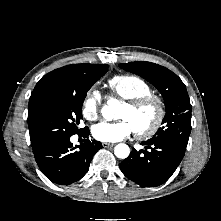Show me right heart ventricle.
<instances>
[{"label": "right heart ventricle", "mask_w": 221, "mask_h": 221, "mask_svg": "<svg viewBox=\"0 0 221 221\" xmlns=\"http://www.w3.org/2000/svg\"><path fill=\"white\" fill-rule=\"evenodd\" d=\"M110 91L125 100H134L152 92L151 86L142 78L130 75H116L108 81Z\"/></svg>", "instance_id": "obj_1"}]
</instances>
